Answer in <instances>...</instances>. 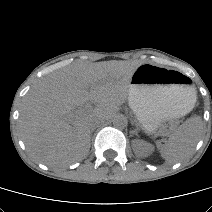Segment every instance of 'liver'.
<instances>
[{"instance_id":"liver-1","label":"liver","mask_w":212,"mask_h":212,"mask_svg":"<svg viewBox=\"0 0 212 212\" xmlns=\"http://www.w3.org/2000/svg\"><path fill=\"white\" fill-rule=\"evenodd\" d=\"M137 67L128 61L74 63L39 81L25 96L19 117L30 155L48 166L84 158L90 149V118L105 120L118 111ZM87 102L95 106L73 112Z\"/></svg>"}]
</instances>
